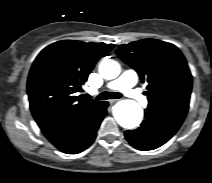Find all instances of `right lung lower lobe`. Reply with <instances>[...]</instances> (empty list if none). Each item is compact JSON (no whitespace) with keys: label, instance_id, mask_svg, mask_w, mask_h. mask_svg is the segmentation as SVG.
<instances>
[{"label":"right lung lower lobe","instance_id":"right-lung-lower-lobe-1","mask_svg":"<svg viewBox=\"0 0 212 183\" xmlns=\"http://www.w3.org/2000/svg\"><path fill=\"white\" fill-rule=\"evenodd\" d=\"M107 107L108 102L103 101L95 110L42 129V132L59 150L69 154L82 152L94 141Z\"/></svg>","mask_w":212,"mask_h":183}]
</instances>
